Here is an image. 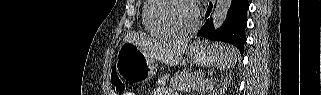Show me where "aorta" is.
Returning a JSON list of instances; mask_svg holds the SVG:
<instances>
[{"label":"aorta","instance_id":"1","mask_svg":"<svg viewBox=\"0 0 321 95\" xmlns=\"http://www.w3.org/2000/svg\"><path fill=\"white\" fill-rule=\"evenodd\" d=\"M232 0H216L213 10V26L218 30L226 20Z\"/></svg>","mask_w":321,"mask_h":95}]
</instances>
